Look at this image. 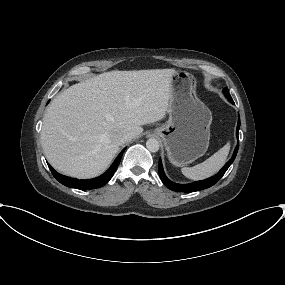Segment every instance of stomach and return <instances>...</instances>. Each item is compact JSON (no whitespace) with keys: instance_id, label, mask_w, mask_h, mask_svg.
<instances>
[{"instance_id":"1","label":"stomach","mask_w":285,"mask_h":285,"mask_svg":"<svg viewBox=\"0 0 285 285\" xmlns=\"http://www.w3.org/2000/svg\"><path fill=\"white\" fill-rule=\"evenodd\" d=\"M168 121L155 129L169 161L184 166L203 156L209 146L212 114L196 95V79L186 71L172 77Z\"/></svg>"}]
</instances>
